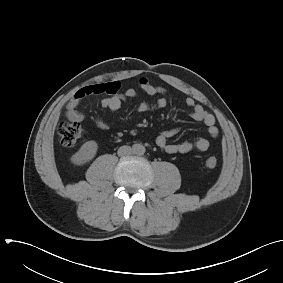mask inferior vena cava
Listing matches in <instances>:
<instances>
[{
  "label": "inferior vena cava",
  "mask_w": 283,
  "mask_h": 283,
  "mask_svg": "<svg viewBox=\"0 0 283 283\" xmlns=\"http://www.w3.org/2000/svg\"><path fill=\"white\" fill-rule=\"evenodd\" d=\"M133 153V149L130 146H121L118 149V156L123 157V156H128Z\"/></svg>",
  "instance_id": "602c4592"
}]
</instances>
